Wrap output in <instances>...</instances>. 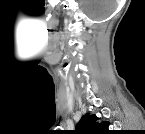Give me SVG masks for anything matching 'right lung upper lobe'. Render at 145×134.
<instances>
[{"label": "right lung upper lobe", "mask_w": 145, "mask_h": 134, "mask_svg": "<svg viewBox=\"0 0 145 134\" xmlns=\"http://www.w3.org/2000/svg\"><path fill=\"white\" fill-rule=\"evenodd\" d=\"M109 125V122L100 121L96 115L86 113L76 125L75 132L77 134H110Z\"/></svg>", "instance_id": "cb5924a9"}]
</instances>
